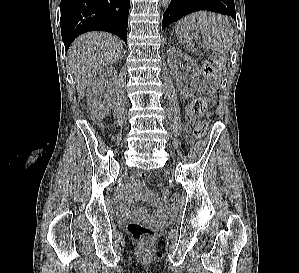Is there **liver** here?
I'll return each mask as SVG.
<instances>
[{
	"mask_svg": "<svg viewBox=\"0 0 299 273\" xmlns=\"http://www.w3.org/2000/svg\"><path fill=\"white\" fill-rule=\"evenodd\" d=\"M122 41L109 33L90 32L78 37L68 50V64L83 98L91 76L102 67L115 63L122 52Z\"/></svg>",
	"mask_w": 299,
	"mask_h": 273,
	"instance_id": "6515ba94",
	"label": "liver"
}]
</instances>
